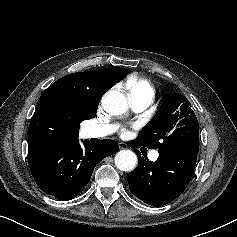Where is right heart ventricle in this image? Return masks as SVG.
<instances>
[{"mask_svg": "<svg viewBox=\"0 0 237 237\" xmlns=\"http://www.w3.org/2000/svg\"><path fill=\"white\" fill-rule=\"evenodd\" d=\"M126 86L129 90L130 100L148 98L151 101L155 97V88L153 84L144 78H130Z\"/></svg>", "mask_w": 237, "mask_h": 237, "instance_id": "obj_1", "label": "right heart ventricle"}]
</instances>
